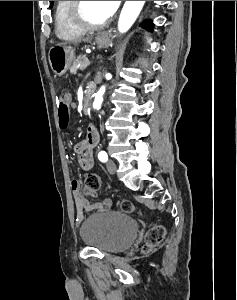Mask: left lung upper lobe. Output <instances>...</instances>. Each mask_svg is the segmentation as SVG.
<instances>
[{
    "mask_svg": "<svg viewBox=\"0 0 237 300\" xmlns=\"http://www.w3.org/2000/svg\"><path fill=\"white\" fill-rule=\"evenodd\" d=\"M52 5H53V1H50V7H51ZM141 24H142L145 28H148V29H152V26H153L152 22L149 21V20L143 21Z\"/></svg>",
    "mask_w": 237,
    "mask_h": 300,
    "instance_id": "5c2ea615",
    "label": "left lung upper lobe"
}]
</instances>
